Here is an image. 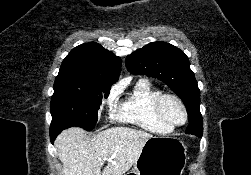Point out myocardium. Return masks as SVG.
<instances>
[{"label":"myocardium","instance_id":"myocardium-1","mask_svg":"<svg viewBox=\"0 0 251 175\" xmlns=\"http://www.w3.org/2000/svg\"><path fill=\"white\" fill-rule=\"evenodd\" d=\"M167 98H173L175 100H177L181 106L183 107L184 109V112H185V120L182 124L180 125H172L163 115L162 113V103L165 99ZM153 110H154V113L157 117V119L163 124L165 125L167 128L171 129L172 131H176L178 129H181L183 128L184 126H186V124L188 123L189 121V117H190V114H189V109L187 107V105L185 104V102L183 101V99L175 94V93H170V92H162L160 93L154 100V103H153Z\"/></svg>","mask_w":251,"mask_h":175}]
</instances>
